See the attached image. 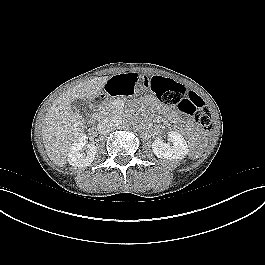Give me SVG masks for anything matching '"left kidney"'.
Instances as JSON below:
<instances>
[{
    "instance_id": "left-kidney-1",
    "label": "left kidney",
    "mask_w": 265,
    "mask_h": 265,
    "mask_svg": "<svg viewBox=\"0 0 265 265\" xmlns=\"http://www.w3.org/2000/svg\"><path fill=\"white\" fill-rule=\"evenodd\" d=\"M171 143L163 142L161 139H155L152 143V150L158 158L162 159H183L189 152L188 145L183 136L176 132H168Z\"/></svg>"
}]
</instances>
